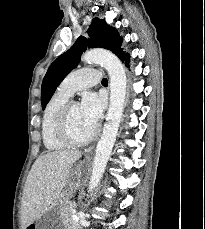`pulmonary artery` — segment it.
<instances>
[{
  "mask_svg": "<svg viewBox=\"0 0 205 229\" xmlns=\"http://www.w3.org/2000/svg\"><path fill=\"white\" fill-rule=\"evenodd\" d=\"M101 81V72L97 69L85 67L70 73L61 83L59 91L71 97L76 91Z\"/></svg>",
  "mask_w": 205,
  "mask_h": 229,
  "instance_id": "e3ab8cb5",
  "label": "pulmonary artery"
}]
</instances>
